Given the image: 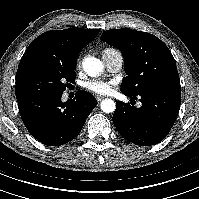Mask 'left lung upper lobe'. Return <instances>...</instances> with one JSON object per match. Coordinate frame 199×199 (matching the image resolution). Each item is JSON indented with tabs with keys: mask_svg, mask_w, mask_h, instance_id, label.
I'll list each match as a JSON object with an SVG mask.
<instances>
[{
	"mask_svg": "<svg viewBox=\"0 0 199 199\" xmlns=\"http://www.w3.org/2000/svg\"><path fill=\"white\" fill-rule=\"evenodd\" d=\"M101 40L124 56L127 76L122 92L137 96L152 90H181L175 59L156 36L124 28L104 31Z\"/></svg>",
	"mask_w": 199,
	"mask_h": 199,
	"instance_id": "1",
	"label": "left lung upper lobe"
}]
</instances>
